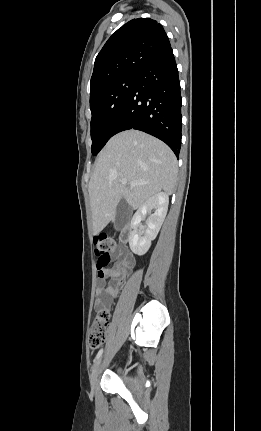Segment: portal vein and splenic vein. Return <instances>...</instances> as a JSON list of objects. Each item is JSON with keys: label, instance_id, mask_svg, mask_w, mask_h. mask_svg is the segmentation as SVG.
Returning <instances> with one entry per match:
<instances>
[{"label": "portal vein and splenic vein", "instance_id": "18ae733b", "mask_svg": "<svg viewBox=\"0 0 261 431\" xmlns=\"http://www.w3.org/2000/svg\"><path fill=\"white\" fill-rule=\"evenodd\" d=\"M121 184L123 185H127V180L123 179L121 180ZM144 183H130L131 187H135V186H139V185H143Z\"/></svg>", "mask_w": 261, "mask_h": 431}]
</instances>
